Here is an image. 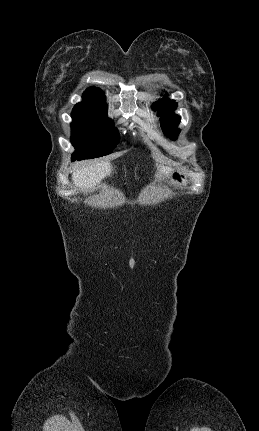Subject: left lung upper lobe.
<instances>
[{"instance_id": "obj_1", "label": "left lung upper lobe", "mask_w": 259, "mask_h": 431, "mask_svg": "<svg viewBox=\"0 0 259 431\" xmlns=\"http://www.w3.org/2000/svg\"><path fill=\"white\" fill-rule=\"evenodd\" d=\"M176 107L177 103L169 99L158 100L152 107L153 110L157 111L158 115L161 116L163 132L172 140H175L180 132V130L176 128L180 122L179 117L174 114Z\"/></svg>"}]
</instances>
